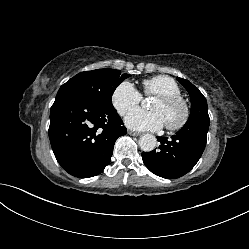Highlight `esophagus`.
<instances>
[{"mask_svg":"<svg viewBox=\"0 0 249 249\" xmlns=\"http://www.w3.org/2000/svg\"><path fill=\"white\" fill-rule=\"evenodd\" d=\"M128 134L131 135V136H139L140 135V133H137V132H134V131H131V130L128 131Z\"/></svg>","mask_w":249,"mask_h":249,"instance_id":"obj_1","label":"esophagus"}]
</instances>
